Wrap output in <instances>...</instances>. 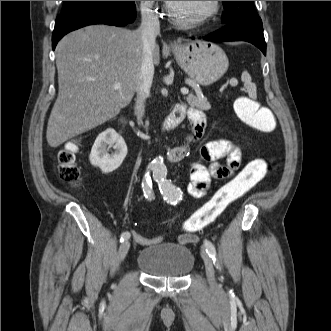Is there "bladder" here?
<instances>
[{
  "label": "bladder",
  "mask_w": 331,
  "mask_h": 331,
  "mask_svg": "<svg viewBox=\"0 0 331 331\" xmlns=\"http://www.w3.org/2000/svg\"><path fill=\"white\" fill-rule=\"evenodd\" d=\"M136 264L152 278L180 279L193 270L195 258L185 244L161 243L142 249Z\"/></svg>",
  "instance_id": "1"
}]
</instances>
